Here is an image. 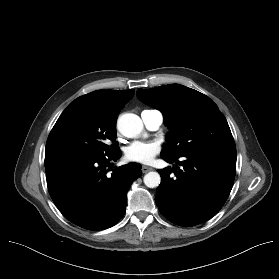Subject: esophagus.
<instances>
[{
	"mask_svg": "<svg viewBox=\"0 0 279 279\" xmlns=\"http://www.w3.org/2000/svg\"><path fill=\"white\" fill-rule=\"evenodd\" d=\"M151 170H153L152 167L142 166V172H143V173H147V172H149V171H151Z\"/></svg>",
	"mask_w": 279,
	"mask_h": 279,
	"instance_id": "34e87169",
	"label": "esophagus"
}]
</instances>
